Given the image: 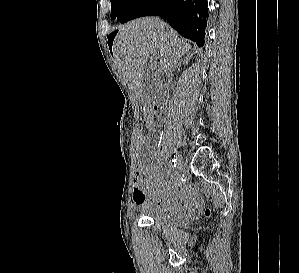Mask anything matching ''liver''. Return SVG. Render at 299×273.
<instances>
[{
  "label": "liver",
  "instance_id": "1",
  "mask_svg": "<svg viewBox=\"0 0 299 273\" xmlns=\"http://www.w3.org/2000/svg\"><path fill=\"white\" fill-rule=\"evenodd\" d=\"M191 49L190 43L158 18L144 17L120 26L114 39L115 63L129 87L140 97L142 71L149 55L155 53L161 71L170 70Z\"/></svg>",
  "mask_w": 299,
  "mask_h": 273
}]
</instances>
